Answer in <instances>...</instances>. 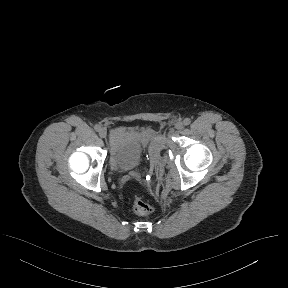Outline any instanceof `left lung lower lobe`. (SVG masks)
Wrapping results in <instances>:
<instances>
[{"label":"left lung lower lobe","mask_w":288,"mask_h":288,"mask_svg":"<svg viewBox=\"0 0 288 288\" xmlns=\"http://www.w3.org/2000/svg\"><path fill=\"white\" fill-rule=\"evenodd\" d=\"M264 209V202L260 197H257L253 205L248 209L246 215L248 216H258Z\"/></svg>","instance_id":"1"}]
</instances>
